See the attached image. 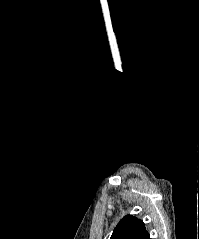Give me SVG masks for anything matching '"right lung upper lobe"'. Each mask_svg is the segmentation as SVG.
I'll return each mask as SVG.
<instances>
[{"instance_id":"1","label":"right lung upper lobe","mask_w":199,"mask_h":239,"mask_svg":"<svg viewBox=\"0 0 199 239\" xmlns=\"http://www.w3.org/2000/svg\"><path fill=\"white\" fill-rule=\"evenodd\" d=\"M147 236L144 223L132 215H127L118 223L110 239H146Z\"/></svg>"}]
</instances>
